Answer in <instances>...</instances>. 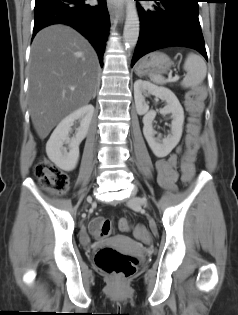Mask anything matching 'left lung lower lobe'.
<instances>
[{
	"label": "left lung lower lobe",
	"instance_id": "1",
	"mask_svg": "<svg viewBox=\"0 0 238 315\" xmlns=\"http://www.w3.org/2000/svg\"><path fill=\"white\" fill-rule=\"evenodd\" d=\"M152 1H156L152 10L138 5L140 35L131 66L145 54L171 46L193 48L207 59L198 18V0Z\"/></svg>",
	"mask_w": 238,
	"mask_h": 315
}]
</instances>
